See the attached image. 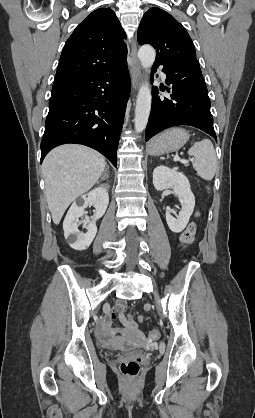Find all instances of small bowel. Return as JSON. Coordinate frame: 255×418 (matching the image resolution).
<instances>
[{
    "label": "small bowel",
    "instance_id": "1",
    "mask_svg": "<svg viewBox=\"0 0 255 418\" xmlns=\"http://www.w3.org/2000/svg\"><path fill=\"white\" fill-rule=\"evenodd\" d=\"M199 231L197 228H184L181 231L180 240L181 247L188 249L192 244L194 237H197ZM125 304L123 302L117 303L115 306L116 314L110 315L105 324L98 329V336L101 343L107 347H116L121 341L122 337L140 338L141 334L137 329L136 322L131 318L124 315ZM118 319L125 325V329L112 330L110 323L113 319Z\"/></svg>",
    "mask_w": 255,
    "mask_h": 418
}]
</instances>
